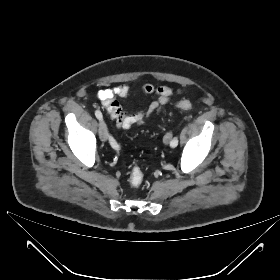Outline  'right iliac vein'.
Listing matches in <instances>:
<instances>
[{
	"mask_svg": "<svg viewBox=\"0 0 280 280\" xmlns=\"http://www.w3.org/2000/svg\"><path fill=\"white\" fill-rule=\"evenodd\" d=\"M99 138L103 142H105L108 138V129L104 121H101L99 124Z\"/></svg>",
	"mask_w": 280,
	"mask_h": 280,
	"instance_id": "1",
	"label": "right iliac vein"
}]
</instances>
